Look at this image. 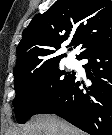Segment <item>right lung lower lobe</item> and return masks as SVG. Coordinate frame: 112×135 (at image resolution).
Returning <instances> with one entry per match:
<instances>
[{"mask_svg": "<svg viewBox=\"0 0 112 135\" xmlns=\"http://www.w3.org/2000/svg\"><path fill=\"white\" fill-rule=\"evenodd\" d=\"M87 78L83 86L75 75L62 92L37 114L55 113L90 135H112V44L86 53Z\"/></svg>", "mask_w": 112, "mask_h": 135, "instance_id": "1", "label": "right lung lower lobe"}]
</instances>
